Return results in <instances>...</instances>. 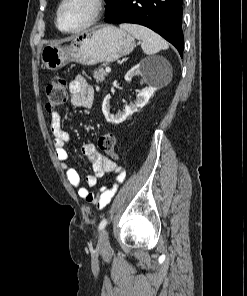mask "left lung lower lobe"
Segmentation results:
<instances>
[{"label":"left lung lower lobe","mask_w":247,"mask_h":296,"mask_svg":"<svg viewBox=\"0 0 247 296\" xmlns=\"http://www.w3.org/2000/svg\"><path fill=\"white\" fill-rule=\"evenodd\" d=\"M182 2L183 0H111L104 21L144 25L173 44L183 57Z\"/></svg>","instance_id":"1"}]
</instances>
